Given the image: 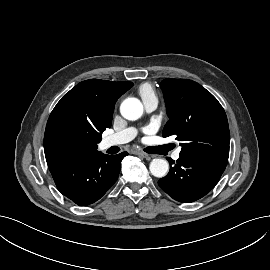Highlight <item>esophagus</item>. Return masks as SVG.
<instances>
[{
	"instance_id": "esophagus-1",
	"label": "esophagus",
	"mask_w": 270,
	"mask_h": 270,
	"mask_svg": "<svg viewBox=\"0 0 270 270\" xmlns=\"http://www.w3.org/2000/svg\"><path fill=\"white\" fill-rule=\"evenodd\" d=\"M136 155L142 156V157H144V158H149V157H150L149 154H147V153H145V152H143V151H137V152H136Z\"/></svg>"
}]
</instances>
